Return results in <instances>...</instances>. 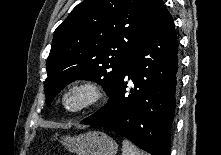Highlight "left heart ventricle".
Instances as JSON below:
<instances>
[{
	"instance_id": "1",
	"label": "left heart ventricle",
	"mask_w": 221,
	"mask_h": 155,
	"mask_svg": "<svg viewBox=\"0 0 221 155\" xmlns=\"http://www.w3.org/2000/svg\"><path fill=\"white\" fill-rule=\"evenodd\" d=\"M80 101H81L80 96L73 95L68 99V105L70 107H74V106L78 105L80 103Z\"/></svg>"
}]
</instances>
